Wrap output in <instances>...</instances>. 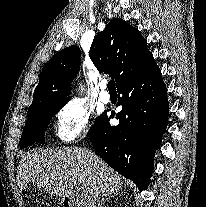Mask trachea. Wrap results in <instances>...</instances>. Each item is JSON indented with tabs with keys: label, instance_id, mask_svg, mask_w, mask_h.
<instances>
[{
	"label": "trachea",
	"instance_id": "3493384b",
	"mask_svg": "<svg viewBox=\"0 0 206 207\" xmlns=\"http://www.w3.org/2000/svg\"><path fill=\"white\" fill-rule=\"evenodd\" d=\"M107 88L109 91H116L114 80H110L108 82Z\"/></svg>",
	"mask_w": 206,
	"mask_h": 207
}]
</instances>
